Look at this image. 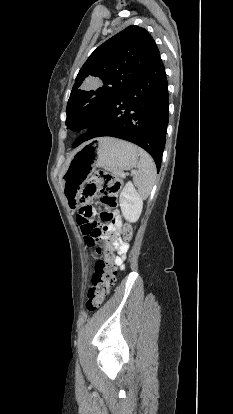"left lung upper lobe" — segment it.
<instances>
[{
	"instance_id": "1",
	"label": "left lung upper lobe",
	"mask_w": 233,
	"mask_h": 414,
	"mask_svg": "<svg viewBox=\"0 0 233 414\" xmlns=\"http://www.w3.org/2000/svg\"><path fill=\"white\" fill-rule=\"evenodd\" d=\"M160 52L152 36L129 26L100 45L80 69L67 104V128L80 131L100 117ZM94 82L98 88L91 89Z\"/></svg>"
}]
</instances>
